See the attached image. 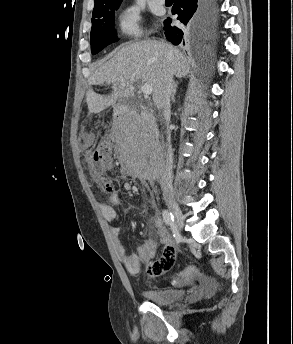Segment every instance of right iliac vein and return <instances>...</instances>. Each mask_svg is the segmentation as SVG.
I'll use <instances>...</instances> for the list:
<instances>
[{"instance_id":"63e3f726","label":"right iliac vein","mask_w":293,"mask_h":344,"mask_svg":"<svg viewBox=\"0 0 293 344\" xmlns=\"http://www.w3.org/2000/svg\"><path fill=\"white\" fill-rule=\"evenodd\" d=\"M167 206L174 216L176 226L182 229L184 226V216L181 209L174 201H168Z\"/></svg>"}]
</instances>
